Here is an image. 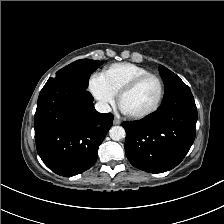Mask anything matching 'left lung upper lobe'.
Here are the masks:
<instances>
[{"label":"left lung upper lobe","instance_id":"1","mask_svg":"<svg viewBox=\"0 0 224 224\" xmlns=\"http://www.w3.org/2000/svg\"><path fill=\"white\" fill-rule=\"evenodd\" d=\"M159 71L165 84V95L163 100L175 96L182 90L189 89V87L176 74L166 67L160 66Z\"/></svg>","mask_w":224,"mask_h":224}]
</instances>
